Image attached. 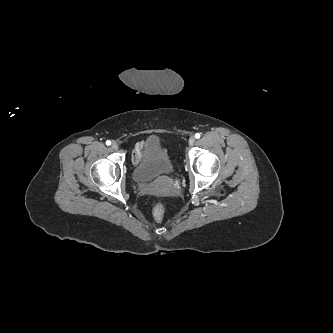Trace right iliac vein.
I'll list each match as a JSON object with an SVG mask.
<instances>
[{"label": "right iliac vein", "instance_id": "63e3f726", "mask_svg": "<svg viewBox=\"0 0 333 333\" xmlns=\"http://www.w3.org/2000/svg\"><path fill=\"white\" fill-rule=\"evenodd\" d=\"M111 147H112V149L117 150L118 149V144L116 142H113Z\"/></svg>", "mask_w": 333, "mask_h": 333}]
</instances>
